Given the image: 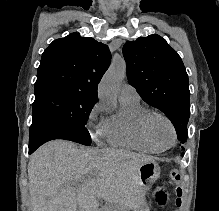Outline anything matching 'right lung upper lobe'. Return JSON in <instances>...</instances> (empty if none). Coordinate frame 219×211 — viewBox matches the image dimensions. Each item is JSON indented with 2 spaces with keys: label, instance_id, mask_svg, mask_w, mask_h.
Listing matches in <instances>:
<instances>
[{
  "label": "right lung upper lobe",
  "instance_id": "cb5924a9",
  "mask_svg": "<svg viewBox=\"0 0 219 211\" xmlns=\"http://www.w3.org/2000/svg\"><path fill=\"white\" fill-rule=\"evenodd\" d=\"M110 61L108 46L93 38L72 33L54 40L42 54L35 93L63 90L96 99Z\"/></svg>",
  "mask_w": 219,
  "mask_h": 211
}]
</instances>
